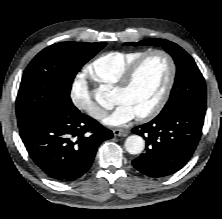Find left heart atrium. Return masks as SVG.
I'll return each mask as SVG.
<instances>
[{
    "mask_svg": "<svg viewBox=\"0 0 222 219\" xmlns=\"http://www.w3.org/2000/svg\"><path fill=\"white\" fill-rule=\"evenodd\" d=\"M136 117L137 114L131 106L126 103H119L103 122L108 126L118 127L129 123Z\"/></svg>",
    "mask_w": 222,
    "mask_h": 219,
    "instance_id": "39dd6f15",
    "label": "left heart atrium"
}]
</instances>
